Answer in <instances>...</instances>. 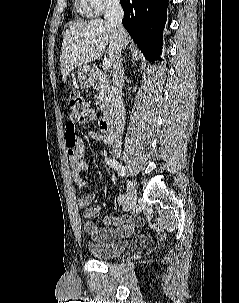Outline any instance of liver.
Wrapping results in <instances>:
<instances>
[{
  "instance_id": "obj_1",
  "label": "liver",
  "mask_w": 239,
  "mask_h": 303,
  "mask_svg": "<svg viewBox=\"0 0 239 303\" xmlns=\"http://www.w3.org/2000/svg\"><path fill=\"white\" fill-rule=\"evenodd\" d=\"M129 42L126 37L125 45ZM115 28L102 19L80 21L70 26L63 37L60 63L62 80L76 67L99 59L109 44L108 54L114 62L116 52Z\"/></svg>"
}]
</instances>
